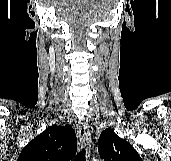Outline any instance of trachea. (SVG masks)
I'll return each instance as SVG.
<instances>
[{
  "instance_id": "1",
  "label": "trachea",
  "mask_w": 171,
  "mask_h": 161,
  "mask_svg": "<svg viewBox=\"0 0 171 161\" xmlns=\"http://www.w3.org/2000/svg\"><path fill=\"white\" fill-rule=\"evenodd\" d=\"M85 154V149H82L75 157V161H86Z\"/></svg>"
}]
</instances>
